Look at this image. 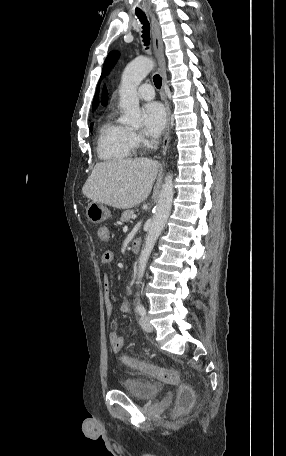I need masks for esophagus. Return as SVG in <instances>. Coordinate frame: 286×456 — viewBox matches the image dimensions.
Wrapping results in <instances>:
<instances>
[{
  "instance_id": "34e87169",
  "label": "esophagus",
  "mask_w": 286,
  "mask_h": 456,
  "mask_svg": "<svg viewBox=\"0 0 286 456\" xmlns=\"http://www.w3.org/2000/svg\"><path fill=\"white\" fill-rule=\"evenodd\" d=\"M149 14L151 17V24H152L153 47H154V51H155V54H156V57L158 60V65H159L158 71L162 77V99L164 101L166 113H167V124H166V130H165V135L163 138L162 149H161L162 154H165L167 147L169 145V142H170V119H171V109H170V105H169V102L166 98L165 91H164L166 80H167L166 60H165V56H164L163 42H162V38H161V31H160V26H159L158 20L156 19L155 15L152 12H150Z\"/></svg>"
}]
</instances>
